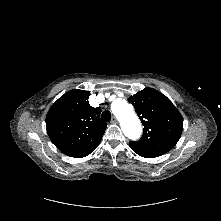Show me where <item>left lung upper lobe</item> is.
<instances>
[{"mask_svg":"<svg viewBox=\"0 0 221 221\" xmlns=\"http://www.w3.org/2000/svg\"><path fill=\"white\" fill-rule=\"evenodd\" d=\"M144 129L138 141H130V148L145 158L161 156L178 142L183 130V118L172 102L161 92L145 88L130 96Z\"/></svg>","mask_w":221,"mask_h":221,"instance_id":"obj_1","label":"left lung upper lobe"}]
</instances>
